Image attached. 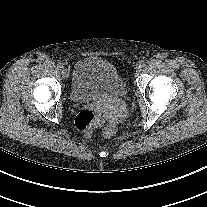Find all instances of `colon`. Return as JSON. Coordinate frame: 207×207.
Returning <instances> with one entry per match:
<instances>
[{
    "mask_svg": "<svg viewBox=\"0 0 207 207\" xmlns=\"http://www.w3.org/2000/svg\"><path fill=\"white\" fill-rule=\"evenodd\" d=\"M102 123V117L87 109L80 111L75 118L76 127L87 135H90L92 129L101 126Z\"/></svg>",
    "mask_w": 207,
    "mask_h": 207,
    "instance_id": "5ec220e1",
    "label": "colon"
}]
</instances>
